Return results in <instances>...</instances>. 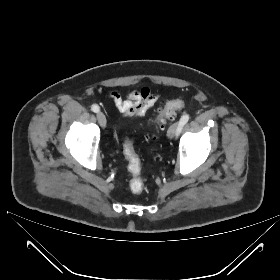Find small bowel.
<instances>
[{
  "label": "small bowel",
  "instance_id": "small-bowel-1",
  "mask_svg": "<svg viewBox=\"0 0 280 280\" xmlns=\"http://www.w3.org/2000/svg\"><path fill=\"white\" fill-rule=\"evenodd\" d=\"M109 97L122 116L141 118L159 100L160 94L149 86H143L127 93L112 92Z\"/></svg>",
  "mask_w": 280,
  "mask_h": 280
}]
</instances>
